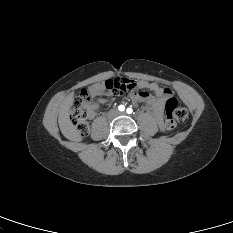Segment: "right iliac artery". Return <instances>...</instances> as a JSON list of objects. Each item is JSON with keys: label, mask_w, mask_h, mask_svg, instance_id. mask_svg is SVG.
Wrapping results in <instances>:
<instances>
[{"label": "right iliac artery", "mask_w": 233, "mask_h": 233, "mask_svg": "<svg viewBox=\"0 0 233 233\" xmlns=\"http://www.w3.org/2000/svg\"><path fill=\"white\" fill-rule=\"evenodd\" d=\"M118 109H119V111H124V110H125V107H124V105H120V106L118 107Z\"/></svg>", "instance_id": "82829eb1"}]
</instances>
